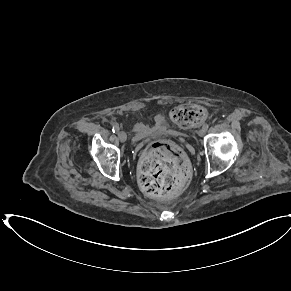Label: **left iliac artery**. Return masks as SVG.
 I'll return each instance as SVG.
<instances>
[{"mask_svg":"<svg viewBox=\"0 0 291 291\" xmlns=\"http://www.w3.org/2000/svg\"><path fill=\"white\" fill-rule=\"evenodd\" d=\"M208 127H209V125H208L207 123H205V124L203 125L202 128H203L205 131H207Z\"/></svg>","mask_w":291,"mask_h":291,"instance_id":"left-iliac-artery-1","label":"left iliac artery"}]
</instances>
